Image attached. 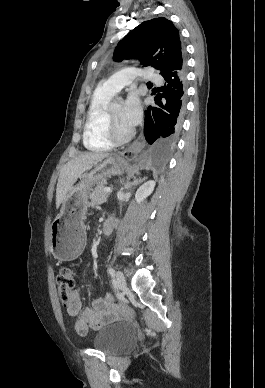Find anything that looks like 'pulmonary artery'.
Wrapping results in <instances>:
<instances>
[{
  "mask_svg": "<svg viewBox=\"0 0 265 388\" xmlns=\"http://www.w3.org/2000/svg\"><path fill=\"white\" fill-rule=\"evenodd\" d=\"M142 68L141 66L139 67ZM153 69V66L151 64H145L143 66V70L138 72L141 73L143 76H146L149 74ZM123 75H110L109 79H104L103 84L105 86L106 90H121L122 86H128L129 82H135L137 74V71L135 69H124L122 71ZM146 80L148 82H162L163 76L160 75L158 72H153L151 75H148L146 77Z\"/></svg>",
  "mask_w": 265,
  "mask_h": 388,
  "instance_id": "obj_1",
  "label": "pulmonary artery"
}]
</instances>
